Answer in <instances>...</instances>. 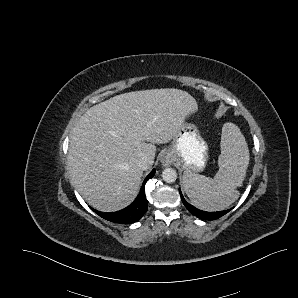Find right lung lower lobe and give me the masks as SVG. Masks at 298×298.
<instances>
[{"mask_svg":"<svg viewBox=\"0 0 298 298\" xmlns=\"http://www.w3.org/2000/svg\"><path fill=\"white\" fill-rule=\"evenodd\" d=\"M154 174H155V169H153L152 172L145 178L137 198L133 201L132 204H130L125 209H122L117 212H111V213H103L100 211H95V212L100 217L114 223L130 224L138 221L147 211L148 201L145 196L144 188H145L146 182L149 179H151L154 176Z\"/></svg>","mask_w":298,"mask_h":298,"instance_id":"right-lung-lower-lobe-1","label":"right lung lower lobe"}]
</instances>
